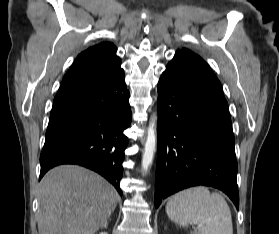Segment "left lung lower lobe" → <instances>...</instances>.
Returning <instances> with one entry per match:
<instances>
[{"instance_id":"0a47b994","label":"left lung lower lobe","mask_w":279,"mask_h":234,"mask_svg":"<svg viewBox=\"0 0 279 234\" xmlns=\"http://www.w3.org/2000/svg\"><path fill=\"white\" fill-rule=\"evenodd\" d=\"M155 207L196 185L225 192L239 209L234 135L222 86L209 65L177 50L158 82Z\"/></svg>"}]
</instances>
